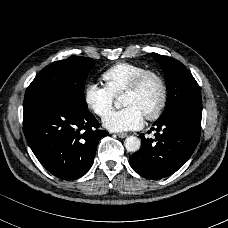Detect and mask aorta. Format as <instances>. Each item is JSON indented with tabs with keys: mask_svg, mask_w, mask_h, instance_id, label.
<instances>
[{
	"mask_svg": "<svg viewBox=\"0 0 228 228\" xmlns=\"http://www.w3.org/2000/svg\"><path fill=\"white\" fill-rule=\"evenodd\" d=\"M118 106V107H117ZM121 103L118 100L114 101V107L120 109ZM125 148L129 152H137L141 147V141L136 136H129L124 142Z\"/></svg>",
	"mask_w": 228,
	"mask_h": 228,
	"instance_id": "762f6f07",
	"label": "aorta"
}]
</instances>
